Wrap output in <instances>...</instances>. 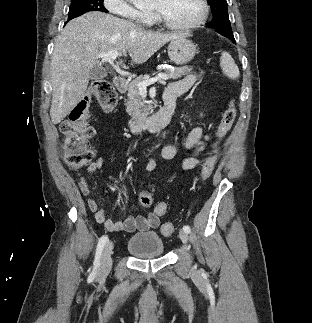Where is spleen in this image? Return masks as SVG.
Returning <instances> with one entry per match:
<instances>
[{
	"mask_svg": "<svg viewBox=\"0 0 312 323\" xmlns=\"http://www.w3.org/2000/svg\"><path fill=\"white\" fill-rule=\"evenodd\" d=\"M220 66L223 70V74H225V76H228L230 80H235V78H238L240 74L239 68H237L229 52H222L220 58Z\"/></svg>",
	"mask_w": 312,
	"mask_h": 323,
	"instance_id": "3e777b00",
	"label": "spleen"
}]
</instances>
